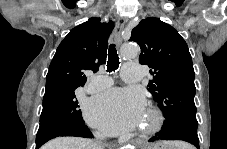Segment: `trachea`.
Listing matches in <instances>:
<instances>
[{"mask_svg":"<svg viewBox=\"0 0 227 149\" xmlns=\"http://www.w3.org/2000/svg\"><path fill=\"white\" fill-rule=\"evenodd\" d=\"M119 63V57L115 48V44H111L108 50L107 71L112 72L117 70Z\"/></svg>","mask_w":227,"mask_h":149,"instance_id":"obj_1","label":"trachea"}]
</instances>
